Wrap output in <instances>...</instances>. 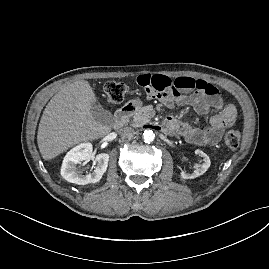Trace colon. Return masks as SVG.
<instances>
[{
  "label": "colon",
  "instance_id": "5ec220e1",
  "mask_svg": "<svg viewBox=\"0 0 269 269\" xmlns=\"http://www.w3.org/2000/svg\"><path fill=\"white\" fill-rule=\"evenodd\" d=\"M126 92L127 87L121 82H108L104 87V93L107 100L114 104L122 101ZM223 140L228 149L235 150L239 147L241 134L238 130L229 129L225 132Z\"/></svg>",
  "mask_w": 269,
  "mask_h": 269
}]
</instances>
